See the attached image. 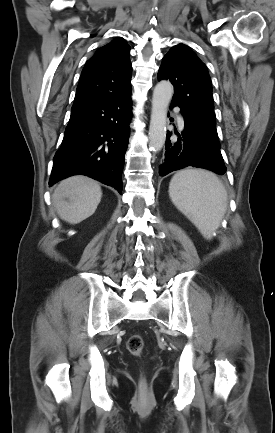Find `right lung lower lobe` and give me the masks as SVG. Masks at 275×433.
I'll return each mask as SVG.
<instances>
[{
    "label": "right lung lower lobe",
    "mask_w": 275,
    "mask_h": 433,
    "mask_svg": "<svg viewBox=\"0 0 275 433\" xmlns=\"http://www.w3.org/2000/svg\"><path fill=\"white\" fill-rule=\"evenodd\" d=\"M94 100L72 109L49 185L86 175L122 194V171L130 134L131 96Z\"/></svg>",
    "instance_id": "98d812e1"
}]
</instances>
